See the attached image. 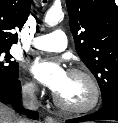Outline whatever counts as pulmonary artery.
<instances>
[{
  "mask_svg": "<svg viewBox=\"0 0 118 123\" xmlns=\"http://www.w3.org/2000/svg\"><path fill=\"white\" fill-rule=\"evenodd\" d=\"M32 46L39 50L60 52L67 46V37L64 31L57 29L50 34L36 36Z\"/></svg>",
  "mask_w": 118,
  "mask_h": 123,
  "instance_id": "obj_1",
  "label": "pulmonary artery"
}]
</instances>
